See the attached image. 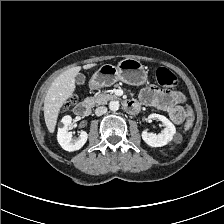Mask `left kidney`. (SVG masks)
<instances>
[{
  "label": "left kidney",
  "instance_id": "1",
  "mask_svg": "<svg viewBox=\"0 0 224 224\" xmlns=\"http://www.w3.org/2000/svg\"><path fill=\"white\" fill-rule=\"evenodd\" d=\"M149 119H158L161 121L164 125L165 128L164 130L159 133L158 135L154 133H149L146 130L142 132V139L144 142L151 146V147H162L168 144L170 141H172L175 133H176V128L174 124L167 119L165 116L160 115V114H151L148 117Z\"/></svg>",
  "mask_w": 224,
  "mask_h": 224
}]
</instances>
